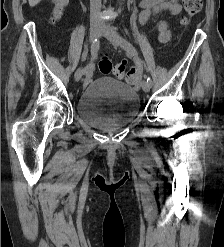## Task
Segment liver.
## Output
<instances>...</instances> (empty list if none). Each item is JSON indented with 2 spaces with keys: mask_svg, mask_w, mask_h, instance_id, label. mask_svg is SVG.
Segmentation results:
<instances>
[{
  "mask_svg": "<svg viewBox=\"0 0 224 247\" xmlns=\"http://www.w3.org/2000/svg\"><path fill=\"white\" fill-rule=\"evenodd\" d=\"M28 2H29V6H31V8H34V6H37V4L41 2V0H28Z\"/></svg>",
  "mask_w": 224,
  "mask_h": 247,
  "instance_id": "6515ba94",
  "label": "liver"
}]
</instances>
